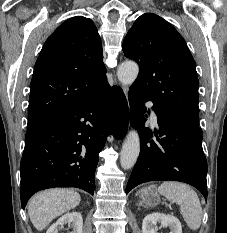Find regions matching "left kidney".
<instances>
[{"instance_id": "left-kidney-1", "label": "left kidney", "mask_w": 227, "mask_h": 233, "mask_svg": "<svg viewBox=\"0 0 227 233\" xmlns=\"http://www.w3.org/2000/svg\"><path fill=\"white\" fill-rule=\"evenodd\" d=\"M160 223L163 227H170V233H182V226L178 218L172 215L153 213L147 215L142 222V233H157L154 226Z\"/></svg>"}]
</instances>
